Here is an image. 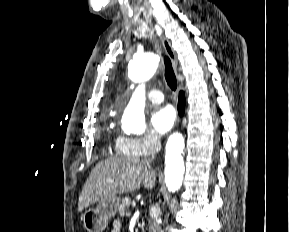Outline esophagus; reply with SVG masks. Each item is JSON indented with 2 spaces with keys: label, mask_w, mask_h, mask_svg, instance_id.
Returning <instances> with one entry per match:
<instances>
[{
  "label": "esophagus",
  "mask_w": 289,
  "mask_h": 232,
  "mask_svg": "<svg viewBox=\"0 0 289 232\" xmlns=\"http://www.w3.org/2000/svg\"><path fill=\"white\" fill-rule=\"evenodd\" d=\"M161 41H162L163 47H164L167 55L169 56V58L172 62V65H173L175 71H177L178 59H177V55H176L175 50L173 49L170 41L168 39H166L164 36L161 37Z\"/></svg>",
  "instance_id": "34e87169"
}]
</instances>
